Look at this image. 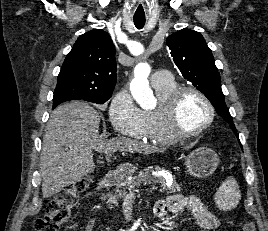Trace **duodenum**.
<instances>
[{"instance_id": "obj_1", "label": "duodenum", "mask_w": 268, "mask_h": 231, "mask_svg": "<svg viewBox=\"0 0 268 231\" xmlns=\"http://www.w3.org/2000/svg\"><path fill=\"white\" fill-rule=\"evenodd\" d=\"M118 182H120L119 172L116 169H113L102 179L95 192L100 193L102 189L113 186Z\"/></svg>"}]
</instances>
